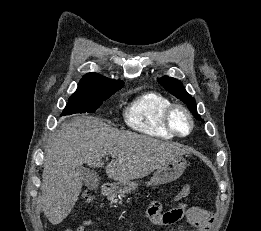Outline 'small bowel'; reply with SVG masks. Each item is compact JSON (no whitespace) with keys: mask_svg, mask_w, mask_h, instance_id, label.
I'll return each mask as SVG.
<instances>
[{"mask_svg":"<svg viewBox=\"0 0 261 231\" xmlns=\"http://www.w3.org/2000/svg\"><path fill=\"white\" fill-rule=\"evenodd\" d=\"M189 194V189L186 193H178L176 199H181ZM189 211L186 206L182 203L178 204L176 207L163 211V205L159 200H153L148 206V216L149 220L153 225L156 226H173L177 224L182 218L189 220ZM190 222V221H189ZM91 225L90 220H84L83 224L80 225L75 230L66 229L65 231H86V227ZM96 231V230H95ZM196 231V230H195ZM210 231V228L207 230Z\"/></svg>","mask_w":261,"mask_h":231,"instance_id":"small-bowel-1","label":"small bowel"}]
</instances>
